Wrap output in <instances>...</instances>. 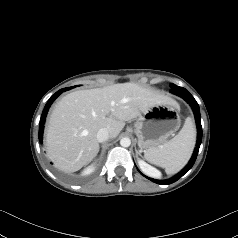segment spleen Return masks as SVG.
Masks as SVG:
<instances>
[{"label":"spleen","instance_id":"3e777b00","mask_svg":"<svg viewBox=\"0 0 238 238\" xmlns=\"http://www.w3.org/2000/svg\"><path fill=\"white\" fill-rule=\"evenodd\" d=\"M196 131L191 118H187L183 128L171 140L144 151L145 159L165 168L167 174L180 171L188 162L195 146Z\"/></svg>","mask_w":238,"mask_h":238}]
</instances>
